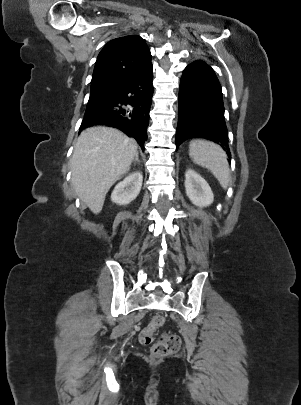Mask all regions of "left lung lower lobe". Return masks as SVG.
<instances>
[{
	"label": "left lung lower lobe",
	"mask_w": 301,
	"mask_h": 405,
	"mask_svg": "<svg viewBox=\"0 0 301 405\" xmlns=\"http://www.w3.org/2000/svg\"><path fill=\"white\" fill-rule=\"evenodd\" d=\"M176 147L190 138H204L219 144L231 158L224 117L221 85L214 70L197 60L183 71L179 88Z\"/></svg>",
	"instance_id": "obj_1"
}]
</instances>
